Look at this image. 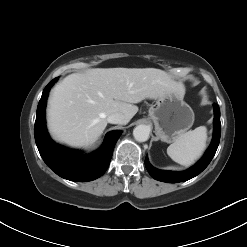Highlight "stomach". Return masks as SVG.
<instances>
[{
	"instance_id": "obj_1",
	"label": "stomach",
	"mask_w": 247,
	"mask_h": 247,
	"mask_svg": "<svg viewBox=\"0 0 247 247\" xmlns=\"http://www.w3.org/2000/svg\"><path fill=\"white\" fill-rule=\"evenodd\" d=\"M184 88L172 90L159 97L149 108L155 134L163 142L171 143L189 130L194 123V112L183 100Z\"/></svg>"
}]
</instances>
